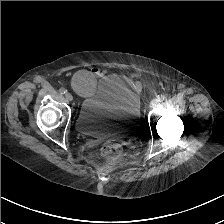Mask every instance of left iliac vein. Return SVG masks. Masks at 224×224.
<instances>
[{"label": "left iliac vein", "mask_w": 224, "mask_h": 224, "mask_svg": "<svg viewBox=\"0 0 224 224\" xmlns=\"http://www.w3.org/2000/svg\"><path fill=\"white\" fill-rule=\"evenodd\" d=\"M158 104V100L157 99H153L151 102H150V108H154L156 107Z\"/></svg>", "instance_id": "obj_1"}]
</instances>
